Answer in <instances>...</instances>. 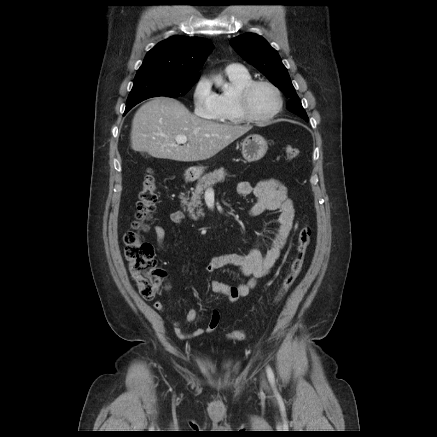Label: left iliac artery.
<instances>
[{
  "label": "left iliac artery",
  "mask_w": 437,
  "mask_h": 437,
  "mask_svg": "<svg viewBox=\"0 0 437 437\" xmlns=\"http://www.w3.org/2000/svg\"><path fill=\"white\" fill-rule=\"evenodd\" d=\"M266 372H267V376H268V380H269L270 384L272 386H275V377H274L273 370L271 369L270 366L266 367Z\"/></svg>",
  "instance_id": "1"
}]
</instances>
